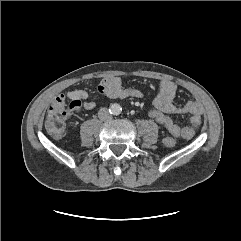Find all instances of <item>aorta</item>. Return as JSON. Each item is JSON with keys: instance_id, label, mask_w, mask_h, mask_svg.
Here are the masks:
<instances>
[{"instance_id": "obj_1", "label": "aorta", "mask_w": 241, "mask_h": 241, "mask_svg": "<svg viewBox=\"0 0 241 241\" xmlns=\"http://www.w3.org/2000/svg\"><path fill=\"white\" fill-rule=\"evenodd\" d=\"M120 110H121V107L119 105H114L113 112L115 114H119Z\"/></svg>"}]
</instances>
